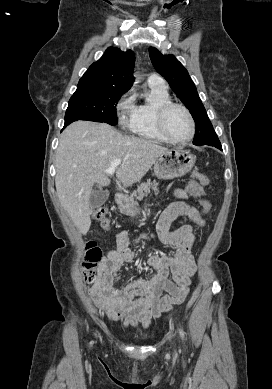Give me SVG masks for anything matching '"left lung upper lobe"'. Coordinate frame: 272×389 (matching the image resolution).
I'll return each mask as SVG.
<instances>
[{"mask_svg": "<svg viewBox=\"0 0 272 389\" xmlns=\"http://www.w3.org/2000/svg\"><path fill=\"white\" fill-rule=\"evenodd\" d=\"M149 56L154 68L167 80L171 89L192 114L196 124L193 144L204 145L216 136V133L188 71L173 55H163L154 47L149 48Z\"/></svg>", "mask_w": 272, "mask_h": 389, "instance_id": "obj_1", "label": "left lung upper lobe"}]
</instances>
